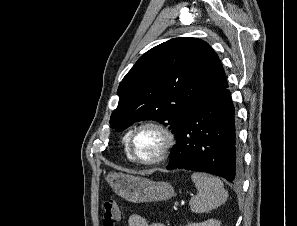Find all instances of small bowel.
Returning <instances> with one entry per match:
<instances>
[{"mask_svg": "<svg viewBox=\"0 0 297 226\" xmlns=\"http://www.w3.org/2000/svg\"><path fill=\"white\" fill-rule=\"evenodd\" d=\"M128 226H165L163 223L149 224L146 219L139 214H132L128 219Z\"/></svg>", "mask_w": 297, "mask_h": 226, "instance_id": "obj_1", "label": "small bowel"}]
</instances>
